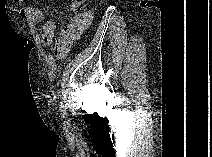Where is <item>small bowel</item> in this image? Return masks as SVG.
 <instances>
[{"instance_id": "c3829d8e", "label": "small bowel", "mask_w": 212, "mask_h": 157, "mask_svg": "<svg viewBox=\"0 0 212 157\" xmlns=\"http://www.w3.org/2000/svg\"><path fill=\"white\" fill-rule=\"evenodd\" d=\"M19 15L29 23H37L40 26V43L43 46H49L53 43L56 31V24L46 19L43 11L40 9L26 6L25 0H18ZM92 14L89 11L81 15L72 16L69 24L59 33L53 48L54 55L59 59H64L68 53L70 44L77 39L83 31L90 25ZM44 61L48 67L50 77H54L57 71V65L52 55H45Z\"/></svg>"}]
</instances>
